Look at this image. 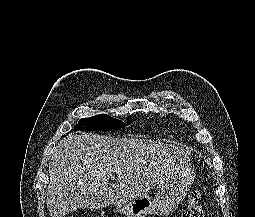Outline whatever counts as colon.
I'll return each instance as SVG.
<instances>
[{
  "label": "colon",
  "mask_w": 255,
  "mask_h": 217,
  "mask_svg": "<svg viewBox=\"0 0 255 217\" xmlns=\"http://www.w3.org/2000/svg\"><path fill=\"white\" fill-rule=\"evenodd\" d=\"M200 199V193L196 190L192 191L188 196L187 206L181 217H204V210Z\"/></svg>",
  "instance_id": "obj_1"
}]
</instances>
